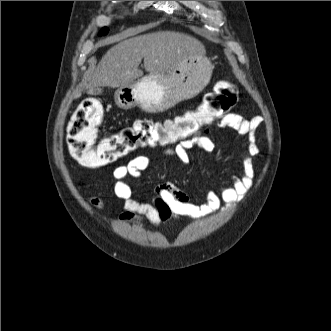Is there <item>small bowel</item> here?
<instances>
[{"instance_id":"1","label":"small bowel","mask_w":331,"mask_h":331,"mask_svg":"<svg viewBox=\"0 0 331 331\" xmlns=\"http://www.w3.org/2000/svg\"><path fill=\"white\" fill-rule=\"evenodd\" d=\"M262 123L261 116L246 119L234 113L225 115L219 121L218 126L232 128L238 133L246 135L248 149L242 160L241 173L231 175L229 183L219 186L216 191H207L204 195V203L199 205L191 203L186 193L168 182L154 189L152 202H140L134 199L127 178L140 177L142 172L150 166V159L146 156H137L127 164L116 167L113 171L114 193L123 201L121 219L130 223L148 221L154 226H159L183 216L201 220L209 217L216 210H226L239 203L252 186L253 157L259 153L255 135ZM192 148L209 153L215 149V144L207 133H203L181 140L174 148L166 149L163 153L174 156L187 164L189 162L188 151Z\"/></svg>"}]
</instances>
